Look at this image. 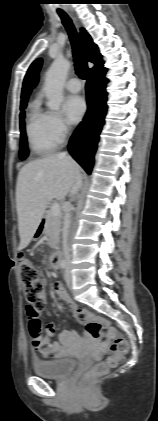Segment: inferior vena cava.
Returning a JSON list of instances; mask_svg holds the SVG:
<instances>
[{"mask_svg":"<svg viewBox=\"0 0 158 421\" xmlns=\"http://www.w3.org/2000/svg\"><path fill=\"white\" fill-rule=\"evenodd\" d=\"M62 156L66 155L65 152L61 153ZM82 186V176L80 173H77L75 176V180L73 185L70 189V194L74 195L76 194L79 189ZM71 224V214H70V207L68 206L66 213L64 215V221H63V229H62V236H63V248H64V256H65V262L66 264H70V247L68 245V235H69V229Z\"/></svg>","mask_w":158,"mask_h":421,"instance_id":"602c4592","label":"inferior vena cava"}]
</instances>
